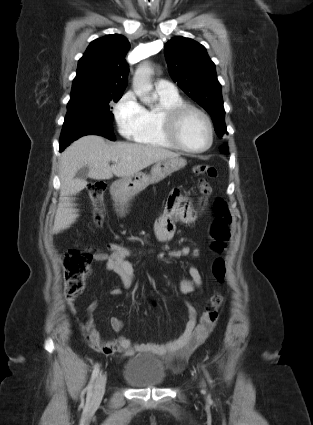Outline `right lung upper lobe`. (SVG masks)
I'll use <instances>...</instances> for the list:
<instances>
[{"mask_svg": "<svg viewBox=\"0 0 313 425\" xmlns=\"http://www.w3.org/2000/svg\"><path fill=\"white\" fill-rule=\"evenodd\" d=\"M129 49V41L120 34L92 41L78 62L71 96L124 92L129 71L125 55Z\"/></svg>", "mask_w": 313, "mask_h": 425, "instance_id": "cb5924a9", "label": "right lung upper lobe"}]
</instances>
